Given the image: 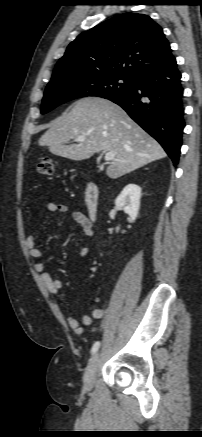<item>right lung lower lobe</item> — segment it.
I'll list each match as a JSON object with an SVG mask.
<instances>
[{
	"label": "right lung lower lobe",
	"mask_w": 202,
	"mask_h": 437,
	"mask_svg": "<svg viewBox=\"0 0 202 437\" xmlns=\"http://www.w3.org/2000/svg\"><path fill=\"white\" fill-rule=\"evenodd\" d=\"M155 138L178 163L185 127L181 73L175 57L134 78L128 91L109 98Z\"/></svg>",
	"instance_id": "right-lung-lower-lobe-1"
}]
</instances>
